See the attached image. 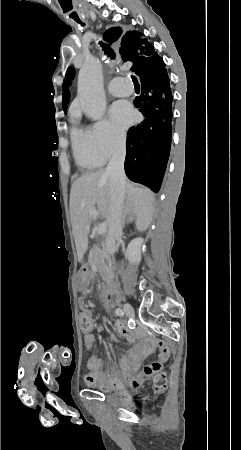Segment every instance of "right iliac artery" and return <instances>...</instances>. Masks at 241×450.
I'll use <instances>...</instances> for the list:
<instances>
[{
  "label": "right iliac artery",
  "mask_w": 241,
  "mask_h": 450,
  "mask_svg": "<svg viewBox=\"0 0 241 450\" xmlns=\"http://www.w3.org/2000/svg\"><path fill=\"white\" fill-rule=\"evenodd\" d=\"M115 314L117 316H123L124 315V311L121 308H116Z\"/></svg>",
  "instance_id": "obj_1"
}]
</instances>
